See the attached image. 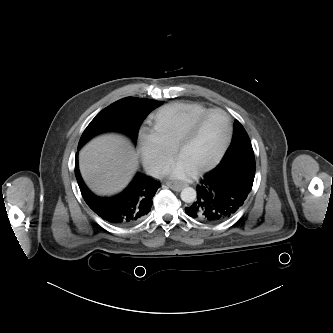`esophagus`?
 I'll return each mask as SVG.
<instances>
[{
	"label": "esophagus",
	"instance_id": "esophagus-1",
	"mask_svg": "<svg viewBox=\"0 0 333 333\" xmlns=\"http://www.w3.org/2000/svg\"><path fill=\"white\" fill-rule=\"evenodd\" d=\"M167 186H168L170 189L179 192V191H181V190H182L185 186H187V185L184 184V183H173V182H168V183H167Z\"/></svg>",
	"mask_w": 333,
	"mask_h": 333
}]
</instances>
